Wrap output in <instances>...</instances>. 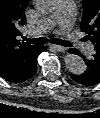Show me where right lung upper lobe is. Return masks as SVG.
I'll return each mask as SVG.
<instances>
[{"mask_svg": "<svg viewBox=\"0 0 100 118\" xmlns=\"http://www.w3.org/2000/svg\"><path fill=\"white\" fill-rule=\"evenodd\" d=\"M26 6L27 0H0V69L17 64L34 47L19 38Z\"/></svg>", "mask_w": 100, "mask_h": 118, "instance_id": "obj_1", "label": "right lung upper lobe"}]
</instances>
